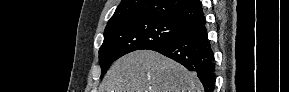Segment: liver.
I'll return each instance as SVG.
<instances>
[{"mask_svg": "<svg viewBox=\"0 0 289 92\" xmlns=\"http://www.w3.org/2000/svg\"><path fill=\"white\" fill-rule=\"evenodd\" d=\"M196 73L152 50L131 52L107 72L101 92H203Z\"/></svg>", "mask_w": 289, "mask_h": 92, "instance_id": "6515ba94", "label": "liver"}]
</instances>
